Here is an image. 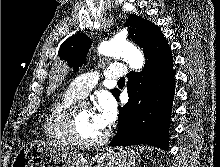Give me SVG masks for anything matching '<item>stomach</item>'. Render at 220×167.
Here are the masks:
<instances>
[{"instance_id":"obj_1","label":"stomach","mask_w":220,"mask_h":167,"mask_svg":"<svg viewBox=\"0 0 220 167\" xmlns=\"http://www.w3.org/2000/svg\"><path fill=\"white\" fill-rule=\"evenodd\" d=\"M139 160L133 148L106 149L89 158L67 148L31 142L19 149L12 167H132Z\"/></svg>"}]
</instances>
